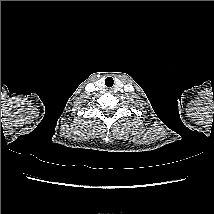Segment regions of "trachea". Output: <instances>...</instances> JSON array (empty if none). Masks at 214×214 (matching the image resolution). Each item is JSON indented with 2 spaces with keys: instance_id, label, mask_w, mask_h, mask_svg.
Returning <instances> with one entry per match:
<instances>
[{
  "instance_id": "obj_1",
  "label": "trachea",
  "mask_w": 214,
  "mask_h": 214,
  "mask_svg": "<svg viewBox=\"0 0 214 214\" xmlns=\"http://www.w3.org/2000/svg\"><path fill=\"white\" fill-rule=\"evenodd\" d=\"M109 80H112V84H111V85H109V86H112V85H113V79H112V78H110V77L106 79V85L108 86V81H109Z\"/></svg>"
}]
</instances>
